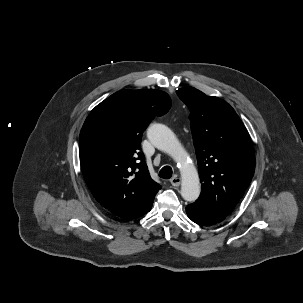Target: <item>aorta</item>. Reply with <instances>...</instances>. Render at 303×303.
Segmentation results:
<instances>
[{"label":"aorta","instance_id":"aorta-1","mask_svg":"<svg viewBox=\"0 0 303 303\" xmlns=\"http://www.w3.org/2000/svg\"><path fill=\"white\" fill-rule=\"evenodd\" d=\"M147 137L157 149L171 155L180 165L181 196L188 202L195 201L201 192L199 175L196 168L187 161L189 156L176 135L166 125L155 123L148 128Z\"/></svg>","mask_w":303,"mask_h":303}]
</instances>
